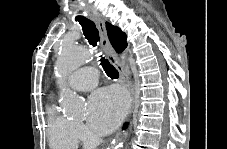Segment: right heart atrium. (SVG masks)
<instances>
[{
    "label": "right heart atrium",
    "instance_id": "1",
    "mask_svg": "<svg viewBox=\"0 0 227 149\" xmlns=\"http://www.w3.org/2000/svg\"><path fill=\"white\" fill-rule=\"evenodd\" d=\"M74 128L78 139L85 140L89 136V133L83 124L74 123Z\"/></svg>",
    "mask_w": 227,
    "mask_h": 149
}]
</instances>
